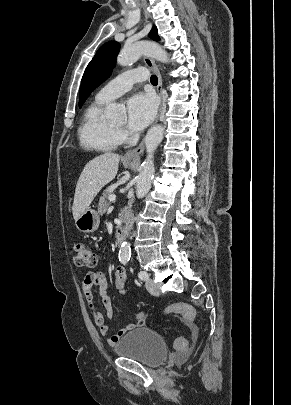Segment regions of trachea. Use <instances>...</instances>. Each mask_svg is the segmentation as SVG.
Here are the masks:
<instances>
[{
    "instance_id": "3493384b",
    "label": "trachea",
    "mask_w": 291,
    "mask_h": 405,
    "mask_svg": "<svg viewBox=\"0 0 291 405\" xmlns=\"http://www.w3.org/2000/svg\"><path fill=\"white\" fill-rule=\"evenodd\" d=\"M150 81H151V83H152L153 85H157V83H158V78H157V76H156V75H152Z\"/></svg>"
}]
</instances>
